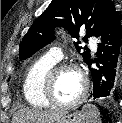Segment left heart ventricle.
Segmentation results:
<instances>
[{"mask_svg":"<svg viewBox=\"0 0 122 123\" xmlns=\"http://www.w3.org/2000/svg\"><path fill=\"white\" fill-rule=\"evenodd\" d=\"M82 88L80 74L73 69H66L56 77L54 94L62 102H68L77 97Z\"/></svg>","mask_w":122,"mask_h":123,"instance_id":"left-heart-ventricle-1","label":"left heart ventricle"}]
</instances>
